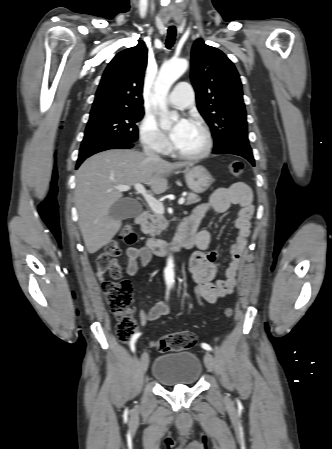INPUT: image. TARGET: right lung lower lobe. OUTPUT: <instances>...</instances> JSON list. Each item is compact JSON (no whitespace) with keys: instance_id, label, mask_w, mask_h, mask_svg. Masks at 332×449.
<instances>
[{"instance_id":"1","label":"right lung lower lobe","mask_w":332,"mask_h":449,"mask_svg":"<svg viewBox=\"0 0 332 449\" xmlns=\"http://www.w3.org/2000/svg\"><path fill=\"white\" fill-rule=\"evenodd\" d=\"M133 143H129L126 141H116V140H110V141H102L98 143H94L91 145H87L80 148L79 157L77 160L76 168L79 167V165L89 156L104 151L108 149H128L133 147Z\"/></svg>"}]
</instances>
